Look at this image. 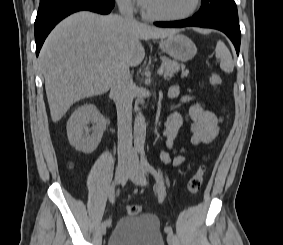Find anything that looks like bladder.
<instances>
[{
	"instance_id": "31cf9c89",
	"label": "bladder",
	"mask_w": 283,
	"mask_h": 245,
	"mask_svg": "<svg viewBox=\"0 0 283 245\" xmlns=\"http://www.w3.org/2000/svg\"><path fill=\"white\" fill-rule=\"evenodd\" d=\"M107 245H165L160 221L147 212L124 216L113 228Z\"/></svg>"
}]
</instances>
